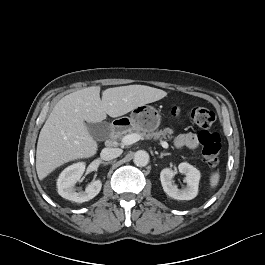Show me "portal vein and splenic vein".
Segmentation results:
<instances>
[{
	"mask_svg": "<svg viewBox=\"0 0 265 265\" xmlns=\"http://www.w3.org/2000/svg\"><path fill=\"white\" fill-rule=\"evenodd\" d=\"M142 139V137L137 133H132L124 136L121 140L123 145H131L137 141ZM160 144L163 148L167 149L169 147L168 143L166 141H160Z\"/></svg>",
	"mask_w": 265,
	"mask_h": 265,
	"instance_id": "1",
	"label": "portal vein and splenic vein"
}]
</instances>
